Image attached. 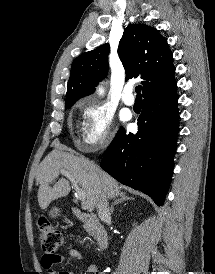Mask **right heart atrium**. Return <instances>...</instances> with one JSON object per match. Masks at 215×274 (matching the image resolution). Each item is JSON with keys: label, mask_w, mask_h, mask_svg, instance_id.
Instances as JSON below:
<instances>
[{"label": "right heart atrium", "mask_w": 215, "mask_h": 274, "mask_svg": "<svg viewBox=\"0 0 215 274\" xmlns=\"http://www.w3.org/2000/svg\"><path fill=\"white\" fill-rule=\"evenodd\" d=\"M82 124L78 146L92 150L107 146L113 136V115L102 103L86 99L80 104Z\"/></svg>", "instance_id": "right-heart-atrium-1"}]
</instances>
